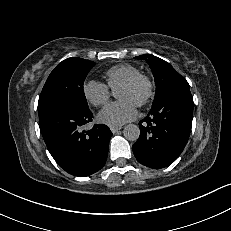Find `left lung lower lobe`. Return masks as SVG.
Returning a JSON list of instances; mask_svg holds the SVG:
<instances>
[{"label":"left lung lower lobe","mask_w":231,"mask_h":231,"mask_svg":"<svg viewBox=\"0 0 231 231\" xmlns=\"http://www.w3.org/2000/svg\"><path fill=\"white\" fill-rule=\"evenodd\" d=\"M193 98L190 90L167 94L140 121V137L133 145L138 162L150 168H164L183 151L190 135Z\"/></svg>","instance_id":"left-lung-lower-lobe-1"}]
</instances>
